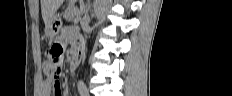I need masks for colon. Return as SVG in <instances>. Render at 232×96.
<instances>
[{
    "instance_id": "1",
    "label": "colon",
    "mask_w": 232,
    "mask_h": 96,
    "mask_svg": "<svg viewBox=\"0 0 232 96\" xmlns=\"http://www.w3.org/2000/svg\"><path fill=\"white\" fill-rule=\"evenodd\" d=\"M47 55L51 61L49 73L54 77H58L63 66V47L59 44H54L48 49Z\"/></svg>"
}]
</instances>
